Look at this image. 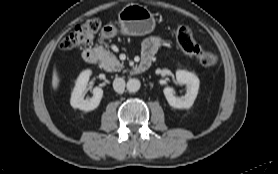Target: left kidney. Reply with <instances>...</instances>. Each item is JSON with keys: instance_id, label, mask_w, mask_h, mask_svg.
Segmentation results:
<instances>
[{"instance_id": "left-kidney-1", "label": "left kidney", "mask_w": 278, "mask_h": 174, "mask_svg": "<svg viewBox=\"0 0 278 174\" xmlns=\"http://www.w3.org/2000/svg\"><path fill=\"white\" fill-rule=\"evenodd\" d=\"M176 80L179 84H185L187 87L186 94L182 97H176L174 89L171 87H165L163 93L170 106L179 109L190 108L198 94L199 79L198 77L185 70L176 71Z\"/></svg>"}]
</instances>
